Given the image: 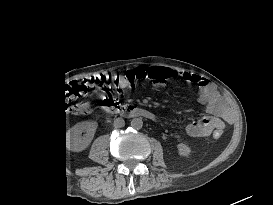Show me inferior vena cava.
I'll list each match as a JSON object with an SVG mask.
<instances>
[{
	"label": "inferior vena cava",
	"instance_id": "inferior-vena-cava-1",
	"mask_svg": "<svg viewBox=\"0 0 273 205\" xmlns=\"http://www.w3.org/2000/svg\"><path fill=\"white\" fill-rule=\"evenodd\" d=\"M113 126L115 127V128H121V127H124L125 126V121H124V119H122V118H117V119H115L114 120V123H113Z\"/></svg>",
	"mask_w": 273,
	"mask_h": 205
}]
</instances>
